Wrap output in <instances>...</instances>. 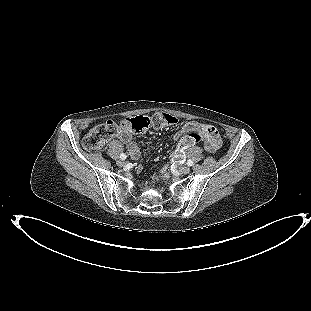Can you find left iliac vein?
Listing matches in <instances>:
<instances>
[{"label": "left iliac vein", "mask_w": 311, "mask_h": 311, "mask_svg": "<svg viewBox=\"0 0 311 311\" xmlns=\"http://www.w3.org/2000/svg\"><path fill=\"white\" fill-rule=\"evenodd\" d=\"M179 172H180L181 174H188V173L190 172V167H188V166H183V167L179 168Z\"/></svg>", "instance_id": "1"}]
</instances>
